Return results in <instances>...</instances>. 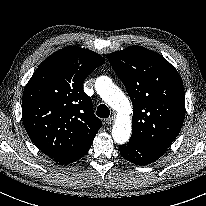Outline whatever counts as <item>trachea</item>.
I'll list each match as a JSON object with an SVG mask.
<instances>
[{"instance_id":"obj_1","label":"trachea","mask_w":206,"mask_h":206,"mask_svg":"<svg viewBox=\"0 0 206 206\" xmlns=\"http://www.w3.org/2000/svg\"><path fill=\"white\" fill-rule=\"evenodd\" d=\"M96 114L100 118H107L110 115V110L105 104H100L97 108Z\"/></svg>"}]
</instances>
